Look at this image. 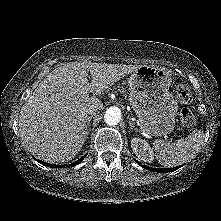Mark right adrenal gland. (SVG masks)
Instances as JSON below:
<instances>
[{"instance_id": "right-adrenal-gland-1", "label": "right adrenal gland", "mask_w": 221, "mask_h": 221, "mask_svg": "<svg viewBox=\"0 0 221 221\" xmlns=\"http://www.w3.org/2000/svg\"><path fill=\"white\" fill-rule=\"evenodd\" d=\"M92 116H89L87 118V125H86V131H85V138H88L89 132H90V122H91Z\"/></svg>"}]
</instances>
